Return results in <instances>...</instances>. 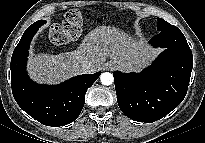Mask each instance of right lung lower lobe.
Here are the masks:
<instances>
[{
  "mask_svg": "<svg viewBox=\"0 0 205 143\" xmlns=\"http://www.w3.org/2000/svg\"><path fill=\"white\" fill-rule=\"evenodd\" d=\"M46 21L29 26L11 58V86L18 105L40 123L58 127L73 122L81 113L87 89L101 72L79 75L60 85H40L28 77L26 61L32 37Z\"/></svg>",
  "mask_w": 205,
  "mask_h": 143,
  "instance_id": "1",
  "label": "right lung lower lobe"
}]
</instances>
